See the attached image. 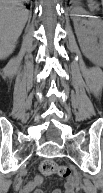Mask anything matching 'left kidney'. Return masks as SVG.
Wrapping results in <instances>:
<instances>
[{
	"label": "left kidney",
	"instance_id": "5707ae66",
	"mask_svg": "<svg viewBox=\"0 0 103 193\" xmlns=\"http://www.w3.org/2000/svg\"><path fill=\"white\" fill-rule=\"evenodd\" d=\"M83 14H86V11L81 7H75L71 14L74 17L75 33L81 51L91 62L101 65L103 61L102 22L95 16H90L91 21L81 20L79 17H84ZM82 24L88 25L89 28Z\"/></svg>",
	"mask_w": 103,
	"mask_h": 193
}]
</instances>
